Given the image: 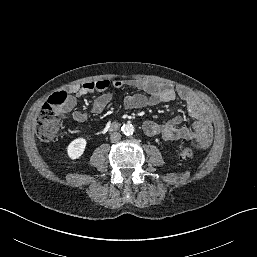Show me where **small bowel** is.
Listing matches in <instances>:
<instances>
[{
	"instance_id": "c3829d8e",
	"label": "small bowel",
	"mask_w": 257,
	"mask_h": 257,
	"mask_svg": "<svg viewBox=\"0 0 257 257\" xmlns=\"http://www.w3.org/2000/svg\"><path fill=\"white\" fill-rule=\"evenodd\" d=\"M124 85L141 90L143 93L129 94L124 96L123 105L127 109H139L147 106H155L160 103L175 100L177 96L185 103L187 111L194 120L190 126H181L182 118L175 116L165 123H157L148 120L143 124L146 135L161 137L165 141L179 139L198 140L208 144L212 137V125L209 114L203 103L195 96L185 90L176 91L172 86L150 80H120L109 81L106 79L90 81L83 84H75L68 88L72 94L69 97L67 111H72V118L78 123H84L88 119V114L75 109L76 98L90 93H100L91 103L92 112H101L112 101L113 95L105 92L110 86L116 89Z\"/></svg>"
}]
</instances>
